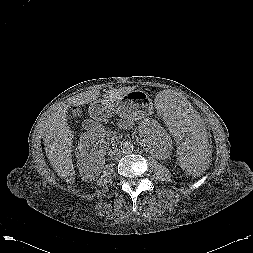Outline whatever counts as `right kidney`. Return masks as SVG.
<instances>
[{"label": "right kidney", "instance_id": "ca27d5eb", "mask_svg": "<svg viewBox=\"0 0 253 253\" xmlns=\"http://www.w3.org/2000/svg\"><path fill=\"white\" fill-rule=\"evenodd\" d=\"M102 128L82 133L76 148L77 167L85 181L98 178L104 165V152L109 148Z\"/></svg>", "mask_w": 253, "mask_h": 253}]
</instances>
